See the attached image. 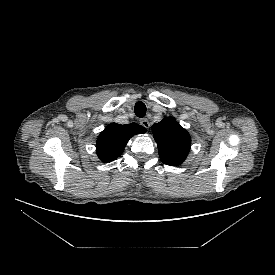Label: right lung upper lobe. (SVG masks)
<instances>
[{"label":"right lung upper lobe","instance_id":"1","mask_svg":"<svg viewBox=\"0 0 275 275\" xmlns=\"http://www.w3.org/2000/svg\"><path fill=\"white\" fill-rule=\"evenodd\" d=\"M146 129L136 123L120 125L111 123L101 132L96 143V152L103 162L118 158L124 151L128 140L135 134L145 133Z\"/></svg>","mask_w":275,"mask_h":275}]
</instances>
